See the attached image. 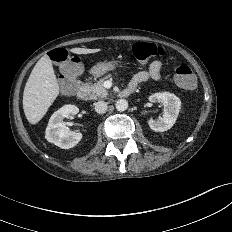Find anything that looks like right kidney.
I'll return each mask as SVG.
<instances>
[{
    "label": "right kidney",
    "mask_w": 232,
    "mask_h": 232,
    "mask_svg": "<svg viewBox=\"0 0 232 232\" xmlns=\"http://www.w3.org/2000/svg\"><path fill=\"white\" fill-rule=\"evenodd\" d=\"M78 112L79 108L71 104L64 105L54 112L45 132L47 141L62 149H69L76 146L82 139V134L70 131L63 122V119L69 115H76Z\"/></svg>",
    "instance_id": "ca27d5eb"
}]
</instances>
